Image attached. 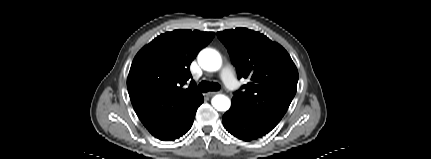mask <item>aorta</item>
Listing matches in <instances>:
<instances>
[{
    "label": "aorta",
    "mask_w": 431,
    "mask_h": 159,
    "mask_svg": "<svg viewBox=\"0 0 431 159\" xmlns=\"http://www.w3.org/2000/svg\"><path fill=\"white\" fill-rule=\"evenodd\" d=\"M198 63L204 70L213 72L221 68L222 59L216 50L206 48L199 53ZM211 103L212 106L218 111H227L231 106L230 99L222 94L214 96Z\"/></svg>",
    "instance_id": "obj_1"
}]
</instances>
